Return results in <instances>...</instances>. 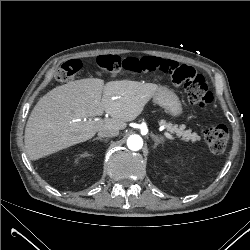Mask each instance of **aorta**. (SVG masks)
<instances>
[{
    "label": "aorta",
    "mask_w": 250,
    "mask_h": 250,
    "mask_svg": "<svg viewBox=\"0 0 250 250\" xmlns=\"http://www.w3.org/2000/svg\"><path fill=\"white\" fill-rule=\"evenodd\" d=\"M127 146L130 150L137 151L143 146V140L139 135H131L127 139Z\"/></svg>",
    "instance_id": "762f6f07"
}]
</instances>
